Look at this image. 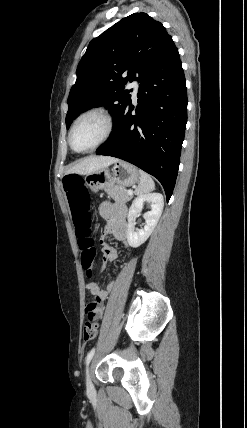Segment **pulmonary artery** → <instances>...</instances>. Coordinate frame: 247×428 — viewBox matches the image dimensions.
<instances>
[{
  "label": "pulmonary artery",
  "instance_id": "e3ab8cb5",
  "mask_svg": "<svg viewBox=\"0 0 247 428\" xmlns=\"http://www.w3.org/2000/svg\"><path fill=\"white\" fill-rule=\"evenodd\" d=\"M130 86L133 88V94L136 95L138 93V82L137 81H133Z\"/></svg>",
  "mask_w": 247,
  "mask_h": 428
}]
</instances>
